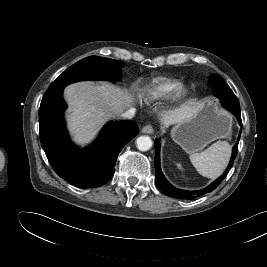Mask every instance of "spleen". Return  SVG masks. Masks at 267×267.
<instances>
[{"label":"spleen","mask_w":267,"mask_h":267,"mask_svg":"<svg viewBox=\"0 0 267 267\" xmlns=\"http://www.w3.org/2000/svg\"><path fill=\"white\" fill-rule=\"evenodd\" d=\"M230 156L231 146L229 143L217 141L203 152L191 154L190 161L199 174L215 179L227 167Z\"/></svg>","instance_id":"obj_1"}]
</instances>
